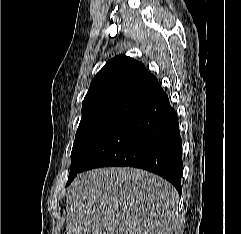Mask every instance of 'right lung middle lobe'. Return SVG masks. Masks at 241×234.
<instances>
[{
  "label": "right lung middle lobe",
  "instance_id": "right-lung-middle-lobe-1",
  "mask_svg": "<svg viewBox=\"0 0 241 234\" xmlns=\"http://www.w3.org/2000/svg\"><path fill=\"white\" fill-rule=\"evenodd\" d=\"M136 105L114 102L82 109V120L71 152V170L67 185L81 171L92 150L133 111Z\"/></svg>",
  "mask_w": 241,
  "mask_h": 234
}]
</instances>
